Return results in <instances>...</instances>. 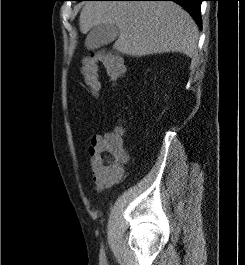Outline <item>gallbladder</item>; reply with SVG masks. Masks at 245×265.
Instances as JSON below:
<instances>
[{
	"mask_svg": "<svg viewBox=\"0 0 245 265\" xmlns=\"http://www.w3.org/2000/svg\"><path fill=\"white\" fill-rule=\"evenodd\" d=\"M119 35V30L113 24H99L89 31L87 35V46L91 49H98L112 43Z\"/></svg>",
	"mask_w": 245,
	"mask_h": 265,
	"instance_id": "bac80fb5",
	"label": "gallbladder"
}]
</instances>
